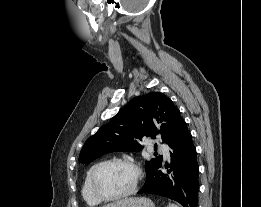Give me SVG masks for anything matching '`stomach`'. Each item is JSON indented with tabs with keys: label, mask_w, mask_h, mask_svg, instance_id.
Masks as SVG:
<instances>
[{
	"label": "stomach",
	"mask_w": 261,
	"mask_h": 207,
	"mask_svg": "<svg viewBox=\"0 0 261 207\" xmlns=\"http://www.w3.org/2000/svg\"><path fill=\"white\" fill-rule=\"evenodd\" d=\"M103 207H155L154 203L145 197L125 198Z\"/></svg>",
	"instance_id": "0dacf381"
}]
</instances>
